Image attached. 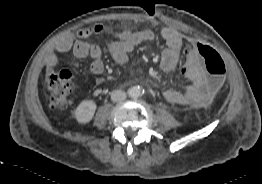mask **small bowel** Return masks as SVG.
<instances>
[{"label": "small bowel", "instance_id": "small-bowel-1", "mask_svg": "<svg viewBox=\"0 0 262 184\" xmlns=\"http://www.w3.org/2000/svg\"><path fill=\"white\" fill-rule=\"evenodd\" d=\"M110 34H114L117 39L110 43L109 52L112 59L120 65L128 62L129 54L138 45L155 39V34L151 30H113L100 24L90 28H82L77 32V37L80 40H75L72 35H65L56 42V52L47 54L45 58L47 71H51L57 66L59 62L57 54L72 52L75 57L80 59L89 57L91 59V72L97 76L101 75L104 71L102 50L98 45L89 41L88 38L91 36L106 37ZM161 36L166 43V48L162 51L160 66L164 71H171L179 62L185 36L172 27L163 28ZM185 48L182 56L186 59V62L182 65L181 71L190 85L184 91L166 90L163 97L172 105L200 108L210 102L213 90L205 83L204 65L195 55V42L187 41ZM103 82L104 80L101 77L96 79L98 85Z\"/></svg>", "mask_w": 262, "mask_h": 184}]
</instances>
